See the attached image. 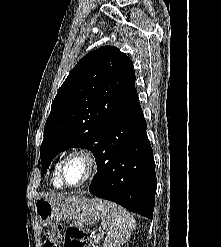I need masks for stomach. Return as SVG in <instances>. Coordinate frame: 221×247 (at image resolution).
Here are the masks:
<instances>
[{"label":"stomach","mask_w":221,"mask_h":247,"mask_svg":"<svg viewBox=\"0 0 221 247\" xmlns=\"http://www.w3.org/2000/svg\"><path fill=\"white\" fill-rule=\"evenodd\" d=\"M99 199L86 197L40 198L35 202V212L44 226L62 219H74L85 225L95 224L100 218Z\"/></svg>","instance_id":"obj_1"}]
</instances>
